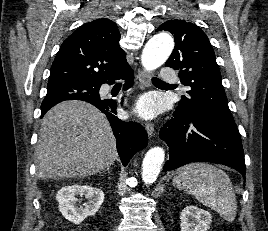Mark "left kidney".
<instances>
[{
	"instance_id": "left-kidney-1",
	"label": "left kidney",
	"mask_w": 268,
	"mask_h": 231,
	"mask_svg": "<svg viewBox=\"0 0 268 231\" xmlns=\"http://www.w3.org/2000/svg\"><path fill=\"white\" fill-rule=\"evenodd\" d=\"M181 231H207L212 222L211 214L197 206H186L180 213Z\"/></svg>"
}]
</instances>
